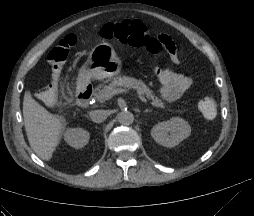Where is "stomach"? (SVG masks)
I'll use <instances>...</instances> for the list:
<instances>
[{"instance_id": "stomach-1", "label": "stomach", "mask_w": 254, "mask_h": 216, "mask_svg": "<svg viewBox=\"0 0 254 216\" xmlns=\"http://www.w3.org/2000/svg\"><path fill=\"white\" fill-rule=\"evenodd\" d=\"M122 60L108 42H101L90 51L86 62L79 70V78L104 79L120 73Z\"/></svg>"}]
</instances>
